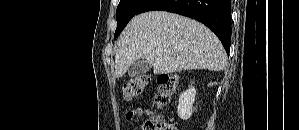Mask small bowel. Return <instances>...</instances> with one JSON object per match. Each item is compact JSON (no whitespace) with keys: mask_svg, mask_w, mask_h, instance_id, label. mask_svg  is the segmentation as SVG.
<instances>
[{"mask_svg":"<svg viewBox=\"0 0 299 130\" xmlns=\"http://www.w3.org/2000/svg\"><path fill=\"white\" fill-rule=\"evenodd\" d=\"M143 114V110L139 107H135L133 108L131 111H129L127 114H126V119L128 121H132L134 120L136 117L140 116Z\"/></svg>","mask_w":299,"mask_h":130,"instance_id":"obj_1","label":"small bowel"}]
</instances>
